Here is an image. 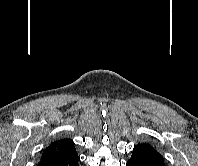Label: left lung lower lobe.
Returning a JSON list of instances; mask_svg holds the SVG:
<instances>
[{
  "label": "left lung lower lobe",
  "mask_w": 198,
  "mask_h": 166,
  "mask_svg": "<svg viewBox=\"0 0 198 166\" xmlns=\"http://www.w3.org/2000/svg\"><path fill=\"white\" fill-rule=\"evenodd\" d=\"M127 166H161V165L145 161L136 156H131V158L127 161Z\"/></svg>",
  "instance_id": "0a47b994"
}]
</instances>
